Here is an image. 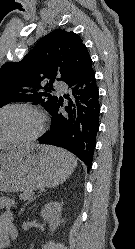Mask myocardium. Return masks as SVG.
Segmentation results:
<instances>
[{
  "instance_id": "myocardium-1",
  "label": "myocardium",
  "mask_w": 135,
  "mask_h": 249,
  "mask_svg": "<svg viewBox=\"0 0 135 249\" xmlns=\"http://www.w3.org/2000/svg\"><path fill=\"white\" fill-rule=\"evenodd\" d=\"M9 109H24L34 114L37 119V129L30 136L0 140V144H28L38 140L42 136L46 127V122L43 112L38 107L29 103L13 102L0 107V113Z\"/></svg>"
}]
</instances>
